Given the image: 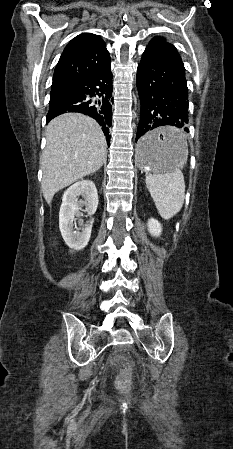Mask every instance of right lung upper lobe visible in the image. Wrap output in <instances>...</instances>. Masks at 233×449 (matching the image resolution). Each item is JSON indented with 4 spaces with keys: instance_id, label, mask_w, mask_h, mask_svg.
<instances>
[{
    "instance_id": "right-lung-upper-lobe-1",
    "label": "right lung upper lobe",
    "mask_w": 233,
    "mask_h": 449,
    "mask_svg": "<svg viewBox=\"0 0 233 449\" xmlns=\"http://www.w3.org/2000/svg\"><path fill=\"white\" fill-rule=\"evenodd\" d=\"M110 61L109 52L100 36L83 33L65 47L56 65L52 90L69 88Z\"/></svg>"
}]
</instances>
